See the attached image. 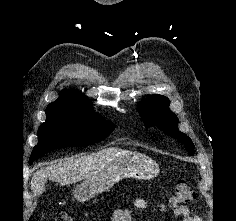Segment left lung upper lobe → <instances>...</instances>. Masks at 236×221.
Segmentation results:
<instances>
[{
  "mask_svg": "<svg viewBox=\"0 0 236 221\" xmlns=\"http://www.w3.org/2000/svg\"><path fill=\"white\" fill-rule=\"evenodd\" d=\"M170 101L161 95H152L143 99L139 105L145 127L157 126L166 135L176 138L185 147L190 155L195 153L192 140L178 130V118L169 110Z\"/></svg>",
  "mask_w": 236,
  "mask_h": 221,
  "instance_id": "5c2ea615",
  "label": "left lung upper lobe"
}]
</instances>
